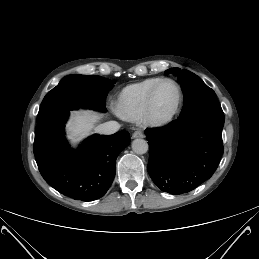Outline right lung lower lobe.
<instances>
[{
  "instance_id": "98d812e1",
  "label": "right lung lower lobe",
  "mask_w": 259,
  "mask_h": 259,
  "mask_svg": "<svg viewBox=\"0 0 259 259\" xmlns=\"http://www.w3.org/2000/svg\"><path fill=\"white\" fill-rule=\"evenodd\" d=\"M69 111L37 120L34 155L41 175L53 188L75 200L93 201L111 186L116 158L130 144V136L126 131L95 134L72 150L64 137Z\"/></svg>"
}]
</instances>
